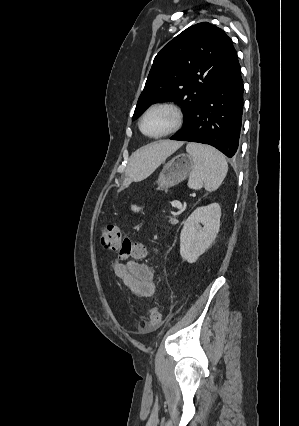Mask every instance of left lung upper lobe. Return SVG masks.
<instances>
[{
	"instance_id": "1",
	"label": "left lung upper lobe",
	"mask_w": 299,
	"mask_h": 426,
	"mask_svg": "<svg viewBox=\"0 0 299 426\" xmlns=\"http://www.w3.org/2000/svg\"><path fill=\"white\" fill-rule=\"evenodd\" d=\"M235 52L222 29L208 22L187 28L156 55L132 119L152 103L174 101L184 107L185 126Z\"/></svg>"
}]
</instances>
